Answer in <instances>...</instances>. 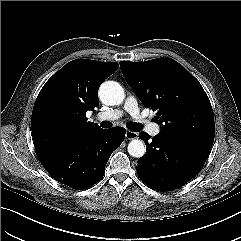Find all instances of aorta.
<instances>
[{
  "label": "aorta",
  "mask_w": 241,
  "mask_h": 241,
  "mask_svg": "<svg viewBox=\"0 0 241 241\" xmlns=\"http://www.w3.org/2000/svg\"><path fill=\"white\" fill-rule=\"evenodd\" d=\"M100 100L110 106L120 105L124 100V89L114 81L104 82L99 89ZM146 152L145 144L140 139H134L128 144V153L136 158L144 156Z\"/></svg>",
  "instance_id": "aorta-1"
}]
</instances>
